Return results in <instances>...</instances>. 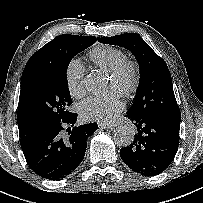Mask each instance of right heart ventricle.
Returning <instances> with one entry per match:
<instances>
[{
  "label": "right heart ventricle",
  "mask_w": 203,
  "mask_h": 203,
  "mask_svg": "<svg viewBox=\"0 0 203 203\" xmlns=\"http://www.w3.org/2000/svg\"><path fill=\"white\" fill-rule=\"evenodd\" d=\"M88 58L97 67L109 72L119 61L126 58V56L119 48L99 45L89 51Z\"/></svg>",
  "instance_id": "1"
}]
</instances>
